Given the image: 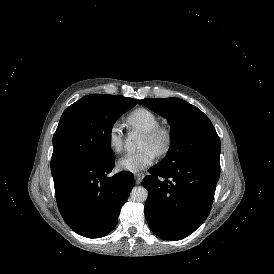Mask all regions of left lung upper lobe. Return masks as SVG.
<instances>
[{
    "mask_svg": "<svg viewBox=\"0 0 274 274\" xmlns=\"http://www.w3.org/2000/svg\"><path fill=\"white\" fill-rule=\"evenodd\" d=\"M139 104L168 120L172 145L160 163L175 166L196 159L219 161L220 139L209 118L197 107L178 98H146Z\"/></svg>",
    "mask_w": 274,
    "mask_h": 274,
    "instance_id": "left-lung-upper-lobe-1",
    "label": "left lung upper lobe"
}]
</instances>
